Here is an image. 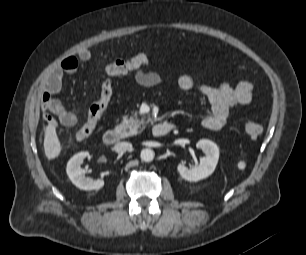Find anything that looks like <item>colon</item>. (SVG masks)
Listing matches in <instances>:
<instances>
[{"label": "colon", "instance_id": "colon-1", "mask_svg": "<svg viewBox=\"0 0 306 255\" xmlns=\"http://www.w3.org/2000/svg\"><path fill=\"white\" fill-rule=\"evenodd\" d=\"M148 63L149 58L147 54L140 52L129 58L110 61L105 67V72L109 77L121 76L145 67ZM112 92L110 80L108 78L104 79L100 86L99 98L90 106L85 124L76 133L77 140L82 141L94 132L111 101ZM244 130L250 137L257 138L262 134L263 127L254 121L247 120L244 123Z\"/></svg>", "mask_w": 306, "mask_h": 255}]
</instances>
